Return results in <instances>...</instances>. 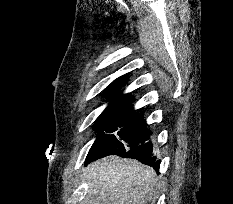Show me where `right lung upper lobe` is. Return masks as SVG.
<instances>
[{
	"mask_svg": "<svg viewBox=\"0 0 233 204\" xmlns=\"http://www.w3.org/2000/svg\"><path fill=\"white\" fill-rule=\"evenodd\" d=\"M128 79L127 76H121L114 80L107 88V96L111 98L109 106L105 109L112 108L117 105H124L130 104L134 97L131 93L123 95L121 92L116 93V91L122 86L125 85L126 80Z\"/></svg>",
	"mask_w": 233,
	"mask_h": 204,
	"instance_id": "obj_1",
	"label": "right lung upper lobe"
}]
</instances>
